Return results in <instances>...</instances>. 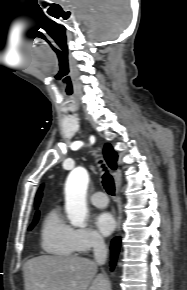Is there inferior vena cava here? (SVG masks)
I'll return each instance as SVG.
<instances>
[{
    "instance_id": "inferior-vena-cava-1",
    "label": "inferior vena cava",
    "mask_w": 187,
    "mask_h": 290,
    "mask_svg": "<svg viewBox=\"0 0 187 290\" xmlns=\"http://www.w3.org/2000/svg\"><path fill=\"white\" fill-rule=\"evenodd\" d=\"M93 252L95 262L99 265H103L107 260V247L104 239L100 236H95L93 239Z\"/></svg>"
}]
</instances>
